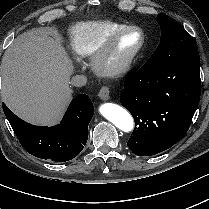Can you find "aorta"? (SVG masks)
<instances>
[{"instance_id":"aorta-1","label":"aorta","mask_w":209,"mask_h":209,"mask_svg":"<svg viewBox=\"0 0 209 209\" xmlns=\"http://www.w3.org/2000/svg\"><path fill=\"white\" fill-rule=\"evenodd\" d=\"M99 112L120 130L124 132H130L133 130L134 121L132 116L127 110L119 105L114 103L102 104L99 108Z\"/></svg>"}]
</instances>
